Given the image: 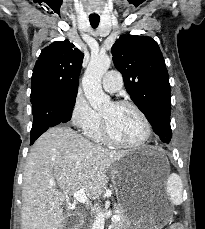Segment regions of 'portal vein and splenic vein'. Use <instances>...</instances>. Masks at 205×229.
<instances>
[{
    "label": "portal vein and splenic vein",
    "instance_id": "18ae733b",
    "mask_svg": "<svg viewBox=\"0 0 205 229\" xmlns=\"http://www.w3.org/2000/svg\"><path fill=\"white\" fill-rule=\"evenodd\" d=\"M69 195H72L75 200H77L81 203L90 204V202H89V200L85 194V191L83 189H80V190L75 191V192H71ZM66 197L68 198V194H66ZM111 220L112 221H119L120 216L114 215V216H112Z\"/></svg>",
    "mask_w": 205,
    "mask_h": 229
}]
</instances>
